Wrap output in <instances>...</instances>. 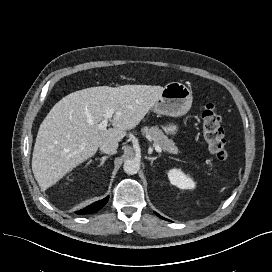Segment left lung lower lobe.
I'll use <instances>...</instances> for the list:
<instances>
[{"label": "left lung lower lobe", "mask_w": 272, "mask_h": 272, "mask_svg": "<svg viewBox=\"0 0 272 272\" xmlns=\"http://www.w3.org/2000/svg\"><path fill=\"white\" fill-rule=\"evenodd\" d=\"M157 216H159L158 214H156ZM161 217V216H160ZM162 219H165V218H163V217H161ZM166 220V219H165Z\"/></svg>", "instance_id": "1"}]
</instances>
